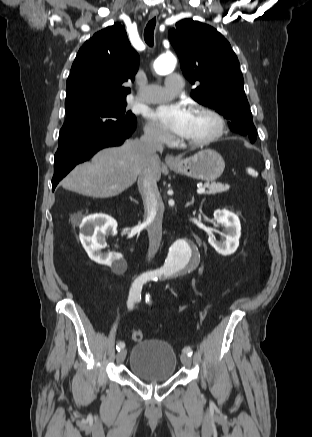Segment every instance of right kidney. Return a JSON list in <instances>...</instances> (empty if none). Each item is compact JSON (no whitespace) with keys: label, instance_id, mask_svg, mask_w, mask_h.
<instances>
[{"label":"right kidney","instance_id":"obj_1","mask_svg":"<svg viewBox=\"0 0 312 437\" xmlns=\"http://www.w3.org/2000/svg\"><path fill=\"white\" fill-rule=\"evenodd\" d=\"M79 227L80 241L91 260L98 264L107 265L114 270L127 267L125 260L121 257L101 252L107 245L106 233L108 231L116 233V220L105 214H94L85 217Z\"/></svg>","mask_w":312,"mask_h":437}]
</instances>
